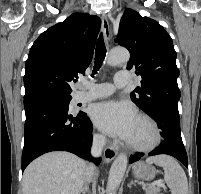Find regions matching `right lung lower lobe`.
<instances>
[{"label": "right lung lower lobe", "mask_w": 201, "mask_h": 194, "mask_svg": "<svg viewBox=\"0 0 201 194\" xmlns=\"http://www.w3.org/2000/svg\"><path fill=\"white\" fill-rule=\"evenodd\" d=\"M69 103L55 94L37 93L24 97L26 121L22 171L38 156L65 150L100 163L90 155L92 123L86 113H75Z\"/></svg>", "instance_id": "obj_1"}]
</instances>
